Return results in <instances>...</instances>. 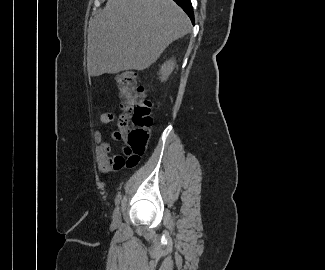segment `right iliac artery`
I'll use <instances>...</instances> for the list:
<instances>
[{
	"label": "right iliac artery",
	"instance_id": "82829eb1",
	"mask_svg": "<svg viewBox=\"0 0 325 270\" xmlns=\"http://www.w3.org/2000/svg\"><path fill=\"white\" fill-rule=\"evenodd\" d=\"M120 201H121V194H118L115 198V205H119L120 204Z\"/></svg>",
	"mask_w": 325,
	"mask_h": 270
}]
</instances>
